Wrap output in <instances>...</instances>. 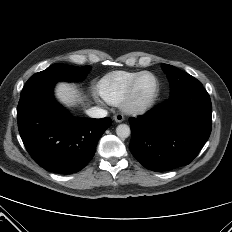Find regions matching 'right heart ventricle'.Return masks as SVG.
<instances>
[{
	"label": "right heart ventricle",
	"instance_id": "obj_1",
	"mask_svg": "<svg viewBox=\"0 0 232 232\" xmlns=\"http://www.w3.org/2000/svg\"><path fill=\"white\" fill-rule=\"evenodd\" d=\"M141 72L114 71L106 74L98 84V92L110 105H120L133 80Z\"/></svg>",
	"mask_w": 232,
	"mask_h": 232
}]
</instances>
